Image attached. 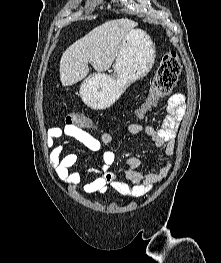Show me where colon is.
I'll use <instances>...</instances> for the list:
<instances>
[{"mask_svg":"<svg viewBox=\"0 0 221 263\" xmlns=\"http://www.w3.org/2000/svg\"><path fill=\"white\" fill-rule=\"evenodd\" d=\"M181 71L179 57L175 51L165 53L157 69L149 93L141 105L140 112H144L154 106L160 99L164 98L176 85ZM68 127L86 128L93 127L92 122L79 111H71L66 116Z\"/></svg>","mask_w":221,"mask_h":263,"instance_id":"5ec220e1","label":"colon"}]
</instances>
